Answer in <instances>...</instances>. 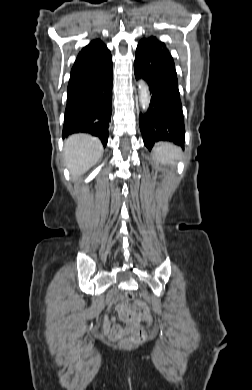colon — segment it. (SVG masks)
<instances>
[{
	"label": "colon",
	"instance_id": "colon-1",
	"mask_svg": "<svg viewBox=\"0 0 252 390\" xmlns=\"http://www.w3.org/2000/svg\"><path fill=\"white\" fill-rule=\"evenodd\" d=\"M125 298L128 301H132L134 299V295L132 292H126ZM148 322L150 323L151 321ZM145 338H146L145 330L142 327H139L130 337H128L123 341V346L126 347L136 346L141 342H143Z\"/></svg>",
	"mask_w": 252,
	"mask_h": 390
}]
</instances>
